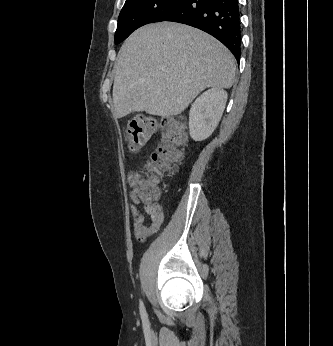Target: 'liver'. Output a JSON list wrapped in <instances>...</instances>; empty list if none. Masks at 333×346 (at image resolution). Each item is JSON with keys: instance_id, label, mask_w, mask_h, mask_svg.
Wrapping results in <instances>:
<instances>
[{"instance_id": "6515ba94", "label": "liver", "mask_w": 333, "mask_h": 346, "mask_svg": "<svg viewBox=\"0 0 333 346\" xmlns=\"http://www.w3.org/2000/svg\"><path fill=\"white\" fill-rule=\"evenodd\" d=\"M235 71L231 52L209 34L179 23L146 25L118 53L114 115H178L204 89L230 88Z\"/></svg>"}]
</instances>
